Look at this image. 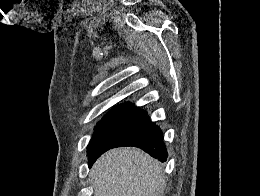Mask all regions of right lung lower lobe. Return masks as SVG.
Segmentation results:
<instances>
[{
  "label": "right lung lower lobe",
  "mask_w": 260,
  "mask_h": 196,
  "mask_svg": "<svg viewBox=\"0 0 260 196\" xmlns=\"http://www.w3.org/2000/svg\"><path fill=\"white\" fill-rule=\"evenodd\" d=\"M162 137L163 134L160 128L155 124H149L147 127L131 135L115 147H138L144 150L145 152L149 153L152 157L157 158L159 161L165 162L168 154L163 143ZM107 150H88L89 165L91 166L94 163V161Z\"/></svg>",
  "instance_id": "98d812e1"
}]
</instances>
